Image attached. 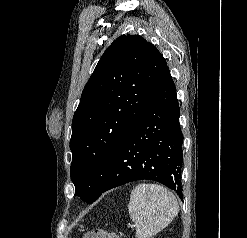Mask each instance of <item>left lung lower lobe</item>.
I'll use <instances>...</instances> for the list:
<instances>
[{
	"instance_id": "0a47b994",
	"label": "left lung lower lobe",
	"mask_w": 247,
	"mask_h": 238,
	"mask_svg": "<svg viewBox=\"0 0 247 238\" xmlns=\"http://www.w3.org/2000/svg\"><path fill=\"white\" fill-rule=\"evenodd\" d=\"M176 88L167 67L158 88L119 147L99 196L137 180H154L182 197L183 135Z\"/></svg>"
}]
</instances>
